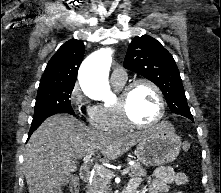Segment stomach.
<instances>
[{
  "mask_svg": "<svg viewBox=\"0 0 221 193\" xmlns=\"http://www.w3.org/2000/svg\"><path fill=\"white\" fill-rule=\"evenodd\" d=\"M181 147V140L173 127L163 122L157 125L137 145V159L146 166H159L174 161Z\"/></svg>",
  "mask_w": 221,
  "mask_h": 193,
  "instance_id": "obj_1",
  "label": "stomach"
}]
</instances>
